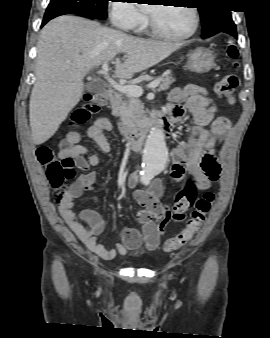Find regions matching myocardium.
I'll return each mask as SVG.
<instances>
[{
	"label": "myocardium",
	"mask_w": 270,
	"mask_h": 338,
	"mask_svg": "<svg viewBox=\"0 0 270 338\" xmlns=\"http://www.w3.org/2000/svg\"><path fill=\"white\" fill-rule=\"evenodd\" d=\"M162 6H164V5H162ZM187 8L190 9V11L193 15V27L189 32H187L185 34L165 33L157 27V25L154 21V18L152 17V15L150 13H148V22H149V27H150L151 33L156 37L166 39V40H184V39H188V38L192 37L196 33L198 26H199V15H198V11H197L196 8L191 7L189 5L187 6Z\"/></svg>",
	"instance_id": "1"
}]
</instances>
